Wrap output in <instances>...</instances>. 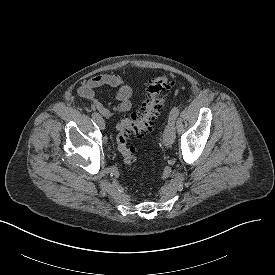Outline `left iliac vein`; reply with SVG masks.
Returning a JSON list of instances; mask_svg holds the SVG:
<instances>
[{"label": "left iliac vein", "instance_id": "4c4485c4", "mask_svg": "<svg viewBox=\"0 0 275 275\" xmlns=\"http://www.w3.org/2000/svg\"><path fill=\"white\" fill-rule=\"evenodd\" d=\"M175 140V124L173 121L168 120L166 128L163 134V144L166 147H169L173 144Z\"/></svg>", "mask_w": 275, "mask_h": 275}]
</instances>
